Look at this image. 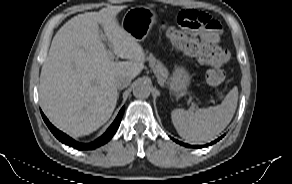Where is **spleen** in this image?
<instances>
[{
    "mask_svg": "<svg viewBox=\"0 0 292 184\" xmlns=\"http://www.w3.org/2000/svg\"><path fill=\"white\" fill-rule=\"evenodd\" d=\"M238 89L234 87L220 105L202 108L195 113L174 109L171 119L180 137L191 143L209 142L230 123L237 108Z\"/></svg>",
    "mask_w": 292,
    "mask_h": 184,
    "instance_id": "3e777b00",
    "label": "spleen"
}]
</instances>
